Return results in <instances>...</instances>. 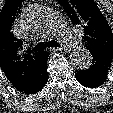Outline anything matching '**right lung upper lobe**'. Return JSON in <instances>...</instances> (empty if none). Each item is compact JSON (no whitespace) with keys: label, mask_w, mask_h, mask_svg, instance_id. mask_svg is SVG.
I'll return each instance as SVG.
<instances>
[{"label":"right lung upper lobe","mask_w":113,"mask_h":113,"mask_svg":"<svg viewBox=\"0 0 113 113\" xmlns=\"http://www.w3.org/2000/svg\"><path fill=\"white\" fill-rule=\"evenodd\" d=\"M23 0H7L0 12V66L8 80L18 89L35 74L43 51L32 54L23 51V41L12 32L16 14Z\"/></svg>","instance_id":"1"}]
</instances>
